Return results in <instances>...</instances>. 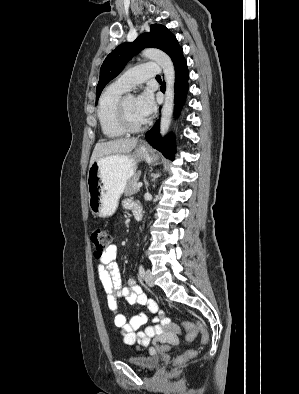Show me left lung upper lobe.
<instances>
[{
    "label": "left lung upper lobe",
    "instance_id": "left-lung-upper-lobe-1",
    "mask_svg": "<svg viewBox=\"0 0 299 394\" xmlns=\"http://www.w3.org/2000/svg\"><path fill=\"white\" fill-rule=\"evenodd\" d=\"M147 47L161 49L171 59L181 49L176 37L166 27L160 24L151 25L150 33L140 35L134 42L119 45L106 57L101 66L100 78L96 88V104L106 84L123 70L133 55Z\"/></svg>",
    "mask_w": 299,
    "mask_h": 394
}]
</instances>
